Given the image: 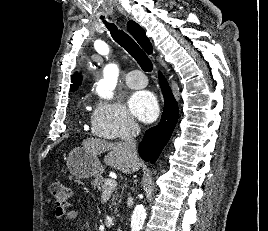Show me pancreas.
<instances>
[{"label":"pancreas","mask_w":268,"mask_h":231,"mask_svg":"<svg viewBox=\"0 0 268 231\" xmlns=\"http://www.w3.org/2000/svg\"><path fill=\"white\" fill-rule=\"evenodd\" d=\"M108 179L103 178L102 176H96L95 179L92 181V185L94 188H97L98 190H104L105 188V182Z\"/></svg>","instance_id":"cf45deb5"}]
</instances>
